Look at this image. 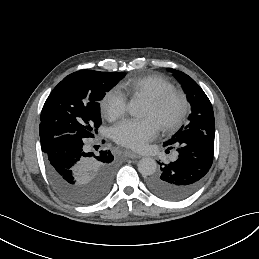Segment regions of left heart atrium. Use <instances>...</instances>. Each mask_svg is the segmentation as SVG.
<instances>
[{
	"mask_svg": "<svg viewBox=\"0 0 259 259\" xmlns=\"http://www.w3.org/2000/svg\"><path fill=\"white\" fill-rule=\"evenodd\" d=\"M159 131L160 124L157 119L147 117L121 120L112 127L111 135L118 144L140 150L155 139Z\"/></svg>",
	"mask_w": 259,
	"mask_h": 259,
	"instance_id": "39dd6f15",
	"label": "left heart atrium"
}]
</instances>
